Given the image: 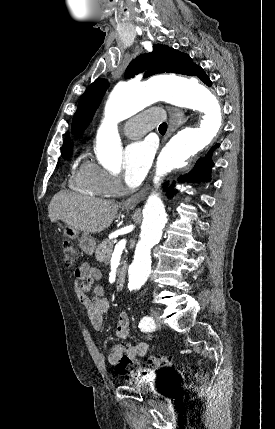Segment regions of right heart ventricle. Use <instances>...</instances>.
Instances as JSON below:
<instances>
[{"mask_svg": "<svg viewBox=\"0 0 275 429\" xmlns=\"http://www.w3.org/2000/svg\"><path fill=\"white\" fill-rule=\"evenodd\" d=\"M70 183L75 190L91 196L109 195L102 182V169L88 160L83 161L73 172Z\"/></svg>", "mask_w": 275, "mask_h": 429, "instance_id": "right-heart-ventricle-1", "label": "right heart ventricle"}]
</instances>
